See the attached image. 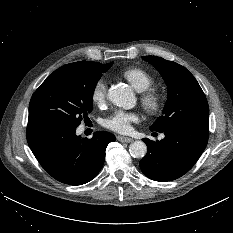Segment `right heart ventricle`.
<instances>
[{
    "label": "right heart ventricle",
    "mask_w": 233,
    "mask_h": 233,
    "mask_svg": "<svg viewBox=\"0 0 233 233\" xmlns=\"http://www.w3.org/2000/svg\"><path fill=\"white\" fill-rule=\"evenodd\" d=\"M122 75L139 92L149 90L154 84L151 75L141 68H129Z\"/></svg>",
    "instance_id": "e07e8e85"
}]
</instances>
